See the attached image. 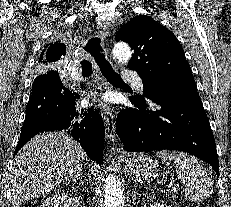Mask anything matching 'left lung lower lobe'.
I'll list each match as a JSON object with an SVG mask.
<instances>
[{
	"mask_svg": "<svg viewBox=\"0 0 231 207\" xmlns=\"http://www.w3.org/2000/svg\"><path fill=\"white\" fill-rule=\"evenodd\" d=\"M155 104L130 97L137 109L119 112L116 133L128 152L179 150L209 163L219 175L215 140L198 93L176 98H149Z\"/></svg>",
	"mask_w": 231,
	"mask_h": 207,
	"instance_id": "0a47b994",
	"label": "left lung lower lobe"
}]
</instances>
